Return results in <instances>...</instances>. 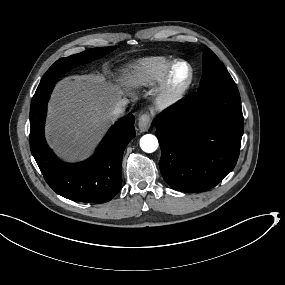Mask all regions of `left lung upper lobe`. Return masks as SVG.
<instances>
[{"mask_svg": "<svg viewBox=\"0 0 285 285\" xmlns=\"http://www.w3.org/2000/svg\"><path fill=\"white\" fill-rule=\"evenodd\" d=\"M199 86L201 88L236 86L227 69L210 49H206L203 54V76Z\"/></svg>", "mask_w": 285, "mask_h": 285, "instance_id": "left-lung-upper-lobe-1", "label": "left lung upper lobe"}]
</instances>
